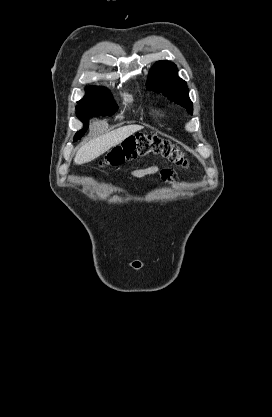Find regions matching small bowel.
Wrapping results in <instances>:
<instances>
[{"label":"small bowel","mask_w":272,"mask_h":417,"mask_svg":"<svg viewBox=\"0 0 272 417\" xmlns=\"http://www.w3.org/2000/svg\"><path fill=\"white\" fill-rule=\"evenodd\" d=\"M155 174H160L163 181L171 182L176 173L168 168L161 169L157 165H152L146 168H138L131 171V176L135 179H141Z\"/></svg>","instance_id":"obj_1"}]
</instances>
